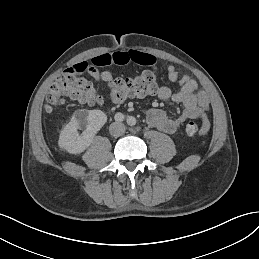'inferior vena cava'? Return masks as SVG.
Listing matches in <instances>:
<instances>
[{
	"label": "inferior vena cava",
	"instance_id": "obj_1",
	"mask_svg": "<svg viewBox=\"0 0 259 259\" xmlns=\"http://www.w3.org/2000/svg\"><path fill=\"white\" fill-rule=\"evenodd\" d=\"M109 131L113 136H121L125 131V127L122 123L113 122L109 127Z\"/></svg>",
	"mask_w": 259,
	"mask_h": 259
}]
</instances>
